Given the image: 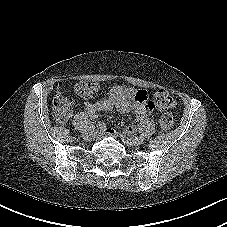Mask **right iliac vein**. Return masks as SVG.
I'll return each mask as SVG.
<instances>
[{"label": "right iliac vein", "instance_id": "right-iliac-vein-1", "mask_svg": "<svg viewBox=\"0 0 227 227\" xmlns=\"http://www.w3.org/2000/svg\"><path fill=\"white\" fill-rule=\"evenodd\" d=\"M96 134H97L96 130L93 129V126H91V128L87 129V130L83 133L82 137H83L85 140L90 141V140H93V139L96 137Z\"/></svg>", "mask_w": 227, "mask_h": 227}]
</instances>
